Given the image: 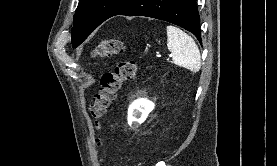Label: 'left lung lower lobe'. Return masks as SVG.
Instances as JSON below:
<instances>
[{
  "instance_id": "left-lung-lower-lobe-1",
  "label": "left lung lower lobe",
  "mask_w": 277,
  "mask_h": 166,
  "mask_svg": "<svg viewBox=\"0 0 277 166\" xmlns=\"http://www.w3.org/2000/svg\"><path fill=\"white\" fill-rule=\"evenodd\" d=\"M114 15L164 20L190 31L201 43L199 14L194 0H133Z\"/></svg>"
}]
</instances>
